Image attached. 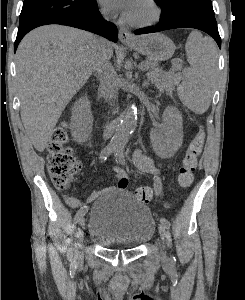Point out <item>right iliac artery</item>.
<instances>
[{
    "label": "right iliac artery",
    "mask_w": 245,
    "mask_h": 300,
    "mask_svg": "<svg viewBox=\"0 0 245 300\" xmlns=\"http://www.w3.org/2000/svg\"><path fill=\"white\" fill-rule=\"evenodd\" d=\"M115 149L116 148L114 146H111V145L106 146L100 153L101 161H103V160L105 161L111 153L115 152ZM86 212H87L86 206L82 207L81 209H79L77 211L75 218H74L75 224L77 222H79V220L86 214Z\"/></svg>",
    "instance_id": "obj_1"
}]
</instances>
